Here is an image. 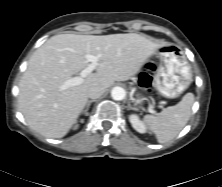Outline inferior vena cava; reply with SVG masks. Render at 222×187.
Returning <instances> with one entry per match:
<instances>
[{
  "mask_svg": "<svg viewBox=\"0 0 222 187\" xmlns=\"http://www.w3.org/2000/svg\"><path fill=\"white\" fill-rule=\"evenodd\" d=\"M105 92V88L101 86H93L88 89L87 95L91 99H97L102 96Z\"/></svg>",
  "mask_w": 222,
  "mask_h": 187,
  "instance_id": "inferior-vena-cava-1",
  "label": "inferior vena cava"
}]
</instances>
